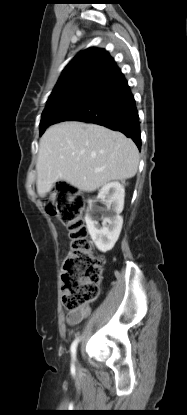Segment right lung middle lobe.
Instances as JSON below:
<instances>
[{"label":"right lung middle lobe","mask_w":187,"mask_h":415,"mask_svg":"<svg viewBox=\"0 0 187 415\" xmlns=\"http://www.w3.org/2000/svg\"><path fill=\"white\" fill-rule=\"evenodd\" d=\"M62 103V100L55 102L53 105L45 109L42 113L41 122H40V135L44 133L46 128L50 126V115L57 107Z\"/></svg>","instance_id":"right-lung-middle-lobe-1"}]
</instances>
